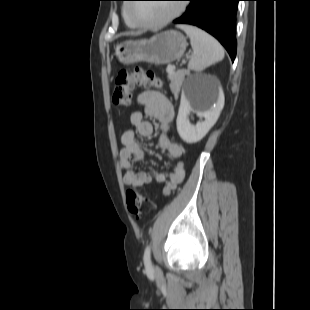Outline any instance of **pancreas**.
Wrapping results in <instances>:
<instances>
[{
    "mask_svg": "<svg viewBox=\"0 0 310 310\" xmlns=\"http://www.w3.org/2000/svg\"><path fill=\"white\" fill-rule=\"evenodd\" d=\"M186 72L184 71H172L168 74V79L171 81L170 83V89L174 96H178L180 92V87L182 86V83L184 81Z\"/></svg>",
    "mask_w": 310,
    "mask_h": 310,
    "instance_id": "cf45deb5",
    "label": "pancreas"
}]
</instances>
